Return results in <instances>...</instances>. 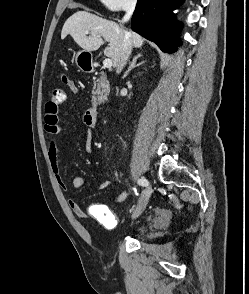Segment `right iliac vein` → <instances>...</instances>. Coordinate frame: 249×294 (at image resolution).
Masks as SVG:
<instances>
[{
    "instance_id": "1",
    "label": "right iliac vein",
    "mask_w": 249,
    "mask_h": 294,
    "mask_svg": "<svg viewBox=\"0 0 249 294\" xmlns=\"http://www.w3.org/2000/svg\"><path fill=\"white\" fill-rule=\"evenodd\" d=\"M150 196H151V188L147 187L143 191V193H142V195H141V197L139 199V202H138V204L136 206V209H135V211H134V213L132 215L133 219H136L141 215V213L143 212V210L145 209V207H146V205H147V203L149 201Z\"/></svg>"
}]
</instances>
